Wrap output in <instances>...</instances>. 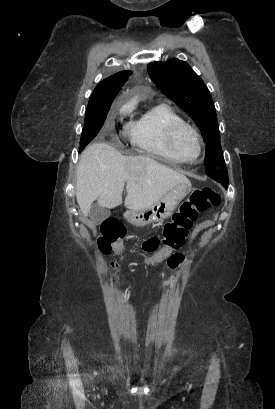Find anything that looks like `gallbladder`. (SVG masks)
Here are the masks:
<instances>
[{"mask_svg": "<svg viewBox=\"0 0 275 409\" xmlns=\"http://www.w3.org/2000/svg\"><path fill=\"white\" fill-rule=\"evenodd\" d=\"M110 215V211L103 209V207H99L98 202H93V205H91L89 217L93 225H101V223H103L105 219H108Z\"/></svg>", "mask_w": 275, "mask_h": 409, "instance_id": "bac80fb5", "label": "gallbladder"}]
</instances>
